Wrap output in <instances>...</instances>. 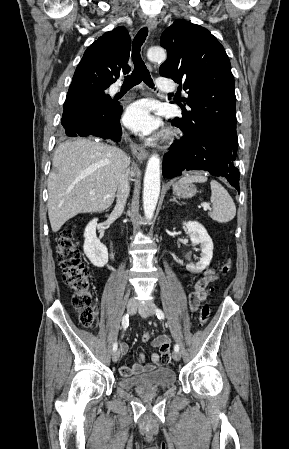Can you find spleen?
Listing matches in <instances>:
<instances>
[{"label": "spleen", "mask_w": 289, "mask_h": 449, "mask_svg": "<svg viewBox=\"0 0 289 449\" xmlns=\"http://www.w3.org/2000/svg\"><path fill=\"white\" fill-rule=\"evenodd\" d=\"M206 181L207 177L200 173L186 175L179 180L180 183H204ZM210 186L212 211L209 216L219 223L231 221L236 215V206L233 199L228 191L216 180H212Z\"/></svg>", "instance_id": "spleen-1"}]
</instances>
